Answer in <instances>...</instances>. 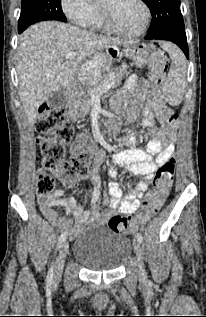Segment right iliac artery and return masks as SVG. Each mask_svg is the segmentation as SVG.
<instances>
[{
  "mask_svg": "<svg viewBox=\"0 0 206 317\" xmlns=\"http://www.w3.org/2000/svg\"><path fill=\"white\" fill-rule=\"evenodd\" d=\"M67 234L66 232H63L58 240V248L60 247V245L66 240ZM53 276H54V268L53 266L50 267L49 271H48V276H47V283L51 284L53 281Z\"/></svg>",
  "mask_w": 206,
  "mask_h": 317,
  "instance_id": "1",
  "label": "right iliac artery"
}]
</instances>
